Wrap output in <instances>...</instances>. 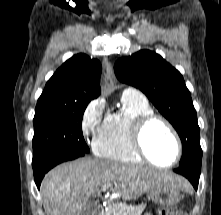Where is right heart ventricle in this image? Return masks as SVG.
Instances as JSON below:
<instances>
[{"instance_id":"1","label":"right heart ventricle","mask_w":221,"mask_h":215,"mask_svg":"<svg viewBox=\"0 0 221 215\" xmlns=\"http://www.w3.org/2000/svg\"><path fill=\"white\" fill-rule=\"evenodd\" d=\"M149 112L153 111L145 97L122 95L121 108L106 116L94 139L95 153L100 157L118 162H143L132 148L129 133L132 122Z\"/></svg>"}]
</instances>
